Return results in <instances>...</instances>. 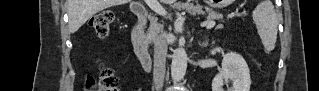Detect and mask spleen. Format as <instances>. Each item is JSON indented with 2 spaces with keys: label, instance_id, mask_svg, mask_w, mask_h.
<instances>
[{
  "label": "spleen",
  "instance_id": "obj_1",
  "mask_svg": "<svg viewBox=\"0 0 319 91\" xmlns=\"http://www.w3.org/2000/svg\"><path fill=\"white\" fill-rule=\"evenodd\" d=\"M252 17L265 52L269 53L275 48L279 24L274 5L270 0L262 1L253 11Z\"/></svg>",
  "mask_w": 319,
  "mask_h": 91
}]
</instances>
